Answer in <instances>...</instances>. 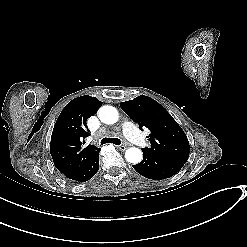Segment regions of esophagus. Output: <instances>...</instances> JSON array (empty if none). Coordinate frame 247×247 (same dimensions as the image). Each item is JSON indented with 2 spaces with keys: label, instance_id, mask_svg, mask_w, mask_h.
I'll return each mask as SVG.
<instances>
[{
  "label": "esophagus",
  "instance_id": "esophagus-1",
  "mask_svg": "<svg viewBox=\"0 0 247 247\" xmlns=\"http://www.w3.org/2000/svg\"><path fill=\"white\" fill-rule=\"evenodd\" d=\"M118 149L121 150V151H124V150H126V147L123 146V145H120V146H118Z\"/></svg>",
  "mask_w": 247,
  "mask_h": 247
}]
</instances>
